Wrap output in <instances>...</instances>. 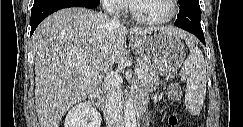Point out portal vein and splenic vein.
<instances>
[{"label": "portal vein and splenic vein", "instance_id": "18ae733b", "mask_svg": "<svg viewBox=\"0 0 243 127\" xmlns=\"http://www.w3.org/2000/svg\"><path fill=\"white\" fill-rule=\"evenodd\" d=\"M89 69H90L89 66L84 67V72H88ZM135 73L140 76L143 74V70L140 68H137V69H135Z\"/></svg>", "mask_w": 243, "mask_h": 127}]
</instances>
